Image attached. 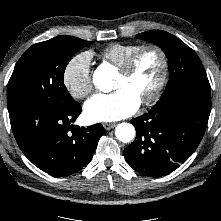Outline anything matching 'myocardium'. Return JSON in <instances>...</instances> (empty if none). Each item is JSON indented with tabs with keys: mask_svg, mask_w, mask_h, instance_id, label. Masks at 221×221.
<instances>
[{
	"mask_svg": "<svg viewBox=\"0 0 221 221\" xmlns=\"http://www.w3.org/2000/svg\"><path fill=\"white\" fill-rule=\"evenodd\" d=\"M146 51H154L158 54L161 61V72L154 89L151 91L149 95H147L144 99L140 101V104L142 105H149L155 102L160 97V95L164 90L169 71V61L165 51L160 46L155 44L141 46L139 49L133 52L126 59V61L119 67V72L121 74L125 76L130 75L133 72L138 59Z\"/></svg>",
	"mask_w": 221,
	"mask_h": 221,
	"instance_id": "f54148a6",
	"label": "myocardium"
}]
</instances>
